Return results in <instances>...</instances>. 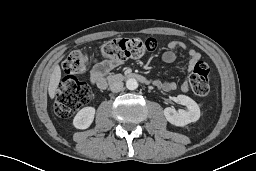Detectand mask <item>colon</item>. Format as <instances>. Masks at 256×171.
Returning a JSON list of instances; mask_svg holds the SVG:
<instances>
[{
	"label": "colon",
	"mask_w": 256,
	"mask_h": 171,
	"mask_svg": "<svg viewBox=\"0 0 256 171\" xmlns=\"http://www.w3.org/2000/svg\"><path fill=\"white\" fill-rule=\"evenodd\" d=\"M156 47L157 43L153 38H116L105 42L100 47V53L109 59L125 60L142 57L153 52ZM88 65L89 55L84 50L72 51L63 61L62 68L66 76L59 82L54 107L59 117H70L90 101L92 95L90 86L76 78V75L83 74L87 70ZM210 80L207 64L196 63L189 76L192 91L199 96L208 94Z\"/></svg>",
	"instance_id": "obj_1"
}]
</instances>
